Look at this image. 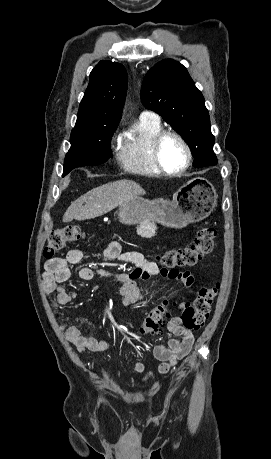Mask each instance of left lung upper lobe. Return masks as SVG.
<instances>
[{"mask_svg":"<svg viewBox=\"0 0 271 459\" xmlns=\"http://www.w3.org/2000/svg\"><path fill=\"white\" fill-rule=\"evenodd\" d=\"M141 101L188 143L194 167L217 164L204 98L183 65L166 59L151 68L142 83Z\"/></svg>","mask_w":271,"mask_h":459,"instance_id":"5c2ea615","label":"left lung upper lobe"}]
</instances>
